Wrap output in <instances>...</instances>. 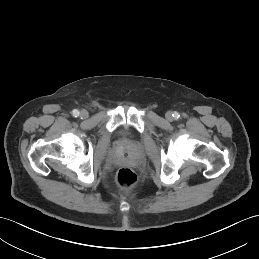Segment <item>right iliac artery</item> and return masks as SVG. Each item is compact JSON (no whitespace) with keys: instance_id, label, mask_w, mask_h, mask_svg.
Returning <instances> with one entry per match:
<instances>
[{"instance_id":"obj_1","label":"right iliac artery","mask_w":259,"mask_h":259,"mask_svg":"<svg viewBox=\"0 0 259 259\" xmlns=\"http://www.w3.org/2000/svg\"><path fill=\"white\" fill-rule=\"evenodd\" d=\"M72 115H73L74 117H78V116H79V111H78L77 109H74V110L72 111Z\"/></svg>"}]
</instances>
